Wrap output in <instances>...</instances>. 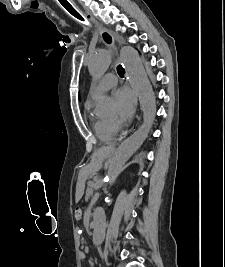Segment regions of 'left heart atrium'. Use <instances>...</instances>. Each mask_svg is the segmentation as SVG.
<instances>
[{"mask_svg": "<svg viewBox=\"0 0 225 267\" xmlns=\"http://www.w3.org/2000/svg\"><path fill=\"white\" fill-rule=\"evenodd\" d=\"M117 105L116 120L119 124L126 122L132 115L134 109V98L128 88H119L114 93Z\"/></svg>", "mask_w": 225, "mask_h": 267, "instance_id": "left-heart-atrium-1", "label": "left heart atrium"}]
</instances>
